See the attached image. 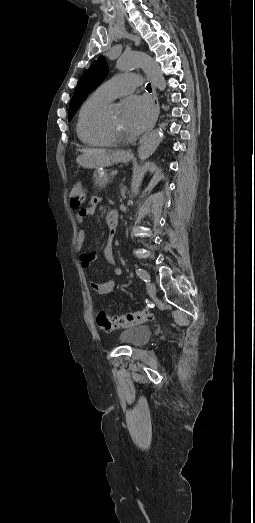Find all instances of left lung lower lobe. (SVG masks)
I'll list each match as a JSON object with an SVG mask.
<instances>
[{
    "instance_id": "1",
    "label": "left lung lower lobe",
    "mask_w": 255,
    "mask_h": 523,
    "mask_svg": "<svg viewBox=\"0 0 255 523\" xmlns=\"http://www.w3.org/2000/svg\"><path fill=\"white\" fill-rule=\"evenodd\" d=\"M167 157H170V154H167Z\"/></svg>"
}]
</instances>
